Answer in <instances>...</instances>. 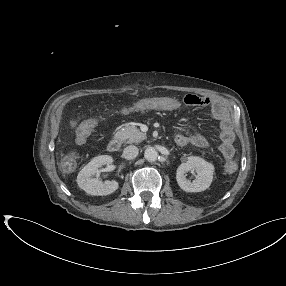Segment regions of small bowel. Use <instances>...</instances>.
Wrapping results in <instances>:
<instances>
[{
	"mask_svg": "<svg viewBox=\"0 0 286 286\" xmlns=\"http://www.w3.org/2000/svg\"><path fill=\"white\" fill-rule=\"evenodd\" d=\"M183 105L210 108L212 115L220 121L221 124V144L219 150L224 158L230 159L233 157L235 135L233 131V123L230 117L228 108L220 101H213L205 96L187 95L182 101L170 97H152L146 98L133 107L124 108L123 112H129L133 109L137 110H163V111H176ZM101 117H95L85 120L82 124H88L91 130L100 122ZM76 123L73 122V125ZM175 141L179 146L192 144L198 148H205L208 146L207 139L200 134L187 135L178 133Z\"/></svg>",
	"mask_w": 286,
	"mask_h": 286,
	"instance_id": "obj_1",
	"label": "small bowel"
}]
</instances>
